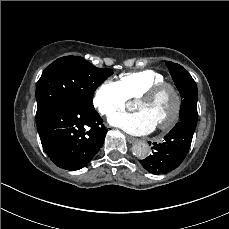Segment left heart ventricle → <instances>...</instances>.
<instances>
[{
  "instance_id": "obj_1",
  "label": "left heart ventricle",
  "mask_w": 229,
  "mask_h": 229,
  "mask_svg": "<svg viewBox=\"0 0 229 229\" xmlns=\"http://www.w3.org/2000/svg\"><path fill=\"white\" fill-rule=\"evenodd\" d=\"M171 90L170 88L164 90L156 99L151 101L144 99L137 101L135 109L145 112L156 126L166 124L165 117L170 114L169 92Z\"/></svg>"
}]
</instances>
